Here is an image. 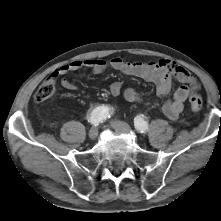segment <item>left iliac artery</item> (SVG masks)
I'll return each instance as SVG.
<instances>
[{
  "label": "left iliac artery",
  "mask_w": 221,
  "mask_h": 221,
  "mask_svg": "<svg viewBox=\"0 0 221 221\" xmlns=\"http://www.w3.org/2000/svg\"><path fill=\"white\" fill-rule=\"evenodd\" d=\"M134 126L140 133H146L148 131V123L141 116H137L134 119Z\"/></svg>",
  "instance_id": "1"
}]
</instances>
